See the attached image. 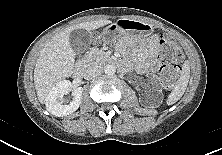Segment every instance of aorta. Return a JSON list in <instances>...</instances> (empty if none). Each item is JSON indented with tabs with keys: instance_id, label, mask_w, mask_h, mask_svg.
I'll use <instances>...</instances> for the list:
<instances>
[{
	"instance_id": "762f6f07",
	"label": "aorta",
	"mask_w": 222,
	"mask_h": 155,
	"mask_svg": "<svg viewBox=\"0 0 222 155\" xmlns=\"http://www.w3.org/2000/svg\"><path fill=\"white\" fill-rule=\"evenodd\" d=\"M104 71H105L106 75H109V76L114 75L115 74V67L112 65H106L104 67Z\"/></svg>"
}]
</instances>
